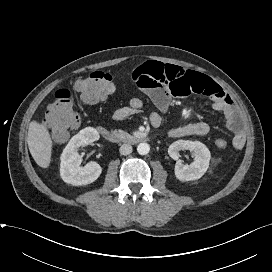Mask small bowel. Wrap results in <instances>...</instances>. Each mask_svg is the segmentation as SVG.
Listing matches in <instances>:
<instances>
[{
    "label": "small bowel",
    "instance_id": "small-bowel-1",
    "mask_svg": "<svg viewBox=\"0 0 272 272\" xmlns=\"http://www.w3.org/2000/svg\"><path fill=\"white\" fill-rule=\"evenodd\" d=\"M133 83L147 94L161 113H166L172 98L197 93L208 97L213 109L224 114L226 125L233 133L232 145L236 150L244 147L246 134L241 125L239 112L231 97L209 77L175 65L148 61L138 66L131 75ZM129 106L117 109L112 118L121 121L137 114ZM150 123L158 127L161 123L160 113L153 111ZM210 125L203 121L188 123L168 131L170 138L186 136H203L209 133Z\"/></svg>",
    "mask_w": 272,
    "mask_h": 272
}]
</instances>
